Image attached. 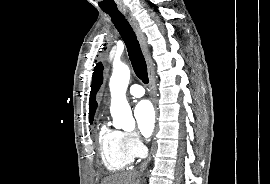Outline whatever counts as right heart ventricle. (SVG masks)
<instances>
[{
	"label": "right heart ventricle",
	"instance_id": "obj_1",
	"mask_svg": "<svg viewBox=\"0 0 270 184\" xmlns=\"http://www.w3.org/2000/svg\"><path fill=\"white\" fill-rule=\"evenodd\" d=\"M98 144L101 159L108 170L119 171L133 163L135 156L128 149L123 132L103 123L98 132Z\"/></svg>",
	"mask_w": 270,
	"mask_h": 184
}]
</instances>
